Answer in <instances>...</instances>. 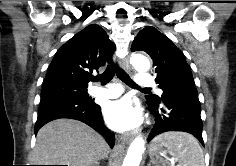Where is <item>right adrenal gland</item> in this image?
<instances>
[{
  "label": "right adrenal gland",
  "instance_id": "right-adrenal-gland-1",
  "mask_svg": "<svg viewBox=\"0 0 236 166\" xmlns=\"http://www.w3.org/2000/svg\"><path fill=\"white\" fill-rule=\"evenodd\" d=\"M93 166H99V163L97 162V163H95Z\"/></svg>",
  "mask_w": 236,
  "mask_h": 166
}]
</instances>
